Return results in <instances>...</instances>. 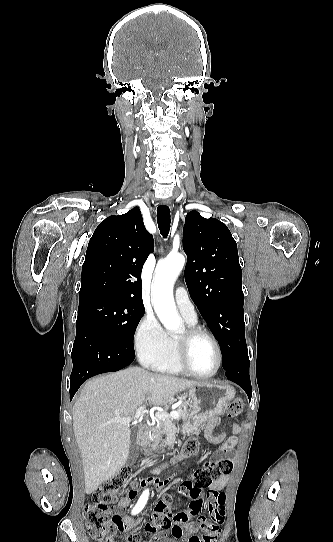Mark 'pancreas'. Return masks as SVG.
<instances>
[{"label": "pancreas", "instance_id": "obj_1", "mask_svg": "<svg viewBox=\"0 0 333 542\" xmlns=\"http://www.w3.org/2000/svg\"><path fill=\"white\" fill-rule=\"evenodd\" d=\"M188 406H190L188 402H182V404L178 406L175 412H179L180 418H177V420L187 422V420L191 418V414L188 412ZM173 430H176L174 420H171V418L159 420V418H157L156 426H152L149 430L151 440H149V444H147V448L144 450L145 456H152L153 452L164 450L167 446L166 436L169 432H173Z\"/></svg>", "mask_w": 333, "mask_h": 542}]
</instances>
